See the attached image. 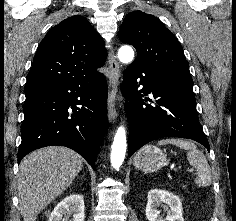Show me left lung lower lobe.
<instances>
[{"instance_id": "0a47b994", "label": "left lung lower lobe", "mask_w": 236, "mask_h": 221, "mask_svg": "<svg viewBox=\"0 0 236 221\" xmlns=\"http://www.w3.org/2000/svg\"><path fill=\"white\" fill-rule=\"evenodd\" d=\"M123 78L122 94L129 100L125 106L130 126L129 157L146 143L163 137L189 138L210 149L198 120L193 83L140 64H131ZM139 86L143 87L138 91ZM150 93L156 99L154 106L142 99Z\"/></svg>"}]
</instances>
